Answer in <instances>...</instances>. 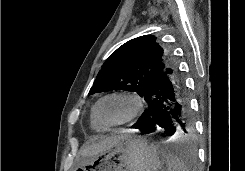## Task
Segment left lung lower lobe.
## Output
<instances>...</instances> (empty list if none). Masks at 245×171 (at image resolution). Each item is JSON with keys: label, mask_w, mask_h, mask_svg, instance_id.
Segmentation results:
<instances>
[{"label": "left lung lower lobe", "mask_w": 245, "mask_h": 171, "mask_svg": "<svg viewBox=\"0 0 245 171\" xmlns=\"http://www.w3.org/2000/svg\"><path fill=\"white\" fill-rule=\"evenodd\" d=\"M148 108L139 117L132 128L141 134H149L161 127L165 136H174L187 132L190 123V105L184 79L176 65L170 60L147 87L144 95ZM189 162L192 155L184 153Z\"/></svg>", "instance_id": "left-lung-lower-lobe-1"}]
</instances>
